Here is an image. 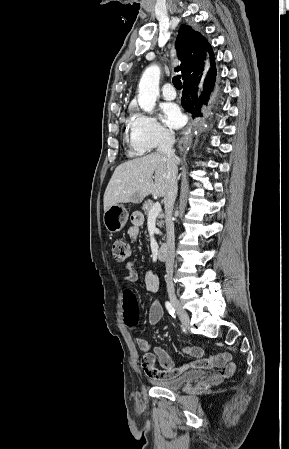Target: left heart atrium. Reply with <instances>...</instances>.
<instances>
[{"instance_id":"obj_1","label":"left heart atrium","mask_w":289,"mask_h":449,"mask_svg":"<svg viewBox=\"0 0 289 449\" xmlns=\"http://www.w3.org/2000/svg\"><path fill=\"white\" fill-rule=\"evenodd\" d=\"M162 120L173 129H178L183 126L185 120L178 105L174 103H165L162 105Z\"/></svg>"}]
</instances>
